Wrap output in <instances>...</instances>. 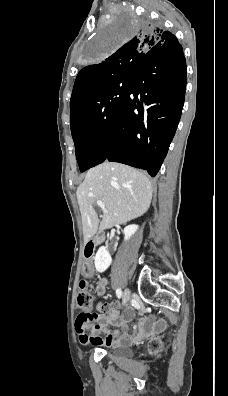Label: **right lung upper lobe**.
<instances>
[{"mask_svg":"<svg viewBox=\"0 0 228 396\" xmlns=\"http://www.w3.org/2000/svg\"><path fill=\"white\" fill-rule=\"evenodd\" d=\"M180 45L170 32L159 27H142L136 36L103 60L78 73L70 100V120L117 80L131 78L141 60L153 51Z\"/></svg>","mask_w":228,"mask_h":396,"instance_id":"cb5924a9","label":"right lung upper lobe"}]
</instances>
